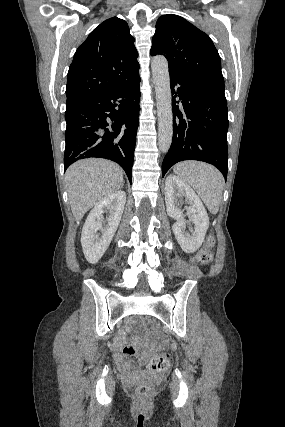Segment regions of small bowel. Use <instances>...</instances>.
<instances>
[{
  "mask_svg": "<svg viewBox=\"0 0 285 427\" xmlns=\"http://www.w3.org/2000/svg\"><path fill=\"white\" fill-rule=\"evenodd\" d=\"M122 341H117L115 343L114 351H115V358L117 362L123 367L124 370L129 369V363L125 361L123 355H122Z\"/></svg>",
  "mask_w": 285,
  "mask_h": 427,
  "instance_id": "obj_1",
  "label": "small bowel"
}]
</instances>
